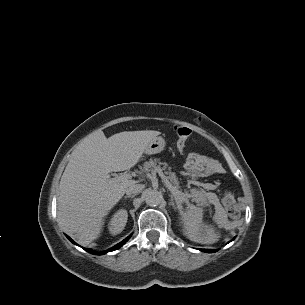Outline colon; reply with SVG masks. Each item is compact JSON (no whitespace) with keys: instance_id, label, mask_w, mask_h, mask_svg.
<instances>
[{"instance_id":"colon-1","label":"colon","mask_w":305,"mask_h":305,"mask_svg":"<svg viewBox=\"0 0 305 305\" xmlns=\"http://www.w3.org/2000/svg\"><path fill=\"white\" fill-rule=\"evenodd\" d=\"M174 132L178 138L179 149H184L185 144L189 136L191 135V130L184 126L174 127ZM222 203L226 208L230 217L235 218L239 213V204L235 195L232 192H226L222 197Z\"/></svg>"}]
</instances>
